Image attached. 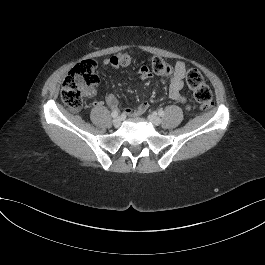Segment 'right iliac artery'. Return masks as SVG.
Segmentation results:
<instances>
[{"label":"right iliac artery","mask_w":265,"mask_h":265,"mask_svg":"<svg viewBox=\"0 0 265 265\" xmlns=\"http://www.w3.org/2000/svg\"><path fill=\"white\" fill-rule=\"evenodd\" d=\"M111 116L113 118H116L118 116V111L117 110H114L112 113H111Z\"/></svg>","instance_id":"right-iliac-artery-1"}]
</instances>
